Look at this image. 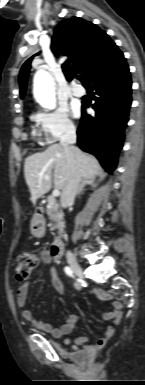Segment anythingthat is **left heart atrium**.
<instances>
[{
    "mask_svg": "<svg viewBox=\"0 0 145 385\" xmlns=\"http://www.w3.org/2000/svg\"><path fill=\"white\" fill-rule=\"evenodd\" d=\"M74 111H75L76 114L78 113V110H77V109H75Z\"/></svg>",
    "mask_w": 145,
    "mask_h": 385,
    "instance_id": "obj_1",
    "label": "left heart atrium"
}]
</instances>
